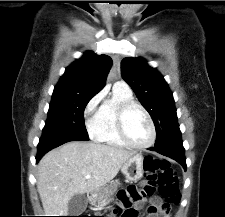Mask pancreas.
Returning <instances> with one entry per match:
<instances>
[{
    "label": "pancreas",
    "mask_w": 225,
    "mask_h": 217,
    "mask_svg": "<svg viewBox=\"0 0 225 217\" xmlns=\"http://www.w3.org/2000/svg\"><path fill=\"white\" fill-rule=\"evenodd\" d=\"M110 200L104 199L101 202H99L98 207L103 208Z\"/></svg>",
    "instance_id": "pancreas-1"
}]
</instances>
